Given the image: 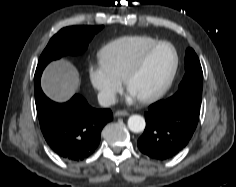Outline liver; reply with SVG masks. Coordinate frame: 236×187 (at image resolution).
Returning <instances> with one entry per match:
<instances>
[{
    "mask_svg": "<svg viewBox=\"0 0 236 187\" xmlns=\"http://www.w3.org/2000/svg\"><path fill=\"white\" fill-rule=\"evenodd\" d=\"M79 84V72L64 59L50 63L41 79L44 93L56 102H65L70 99Z\"/></svg>",
    "mask_w": 236,
    "mask_h": 187,
    "instance_id": "obj_1",
    "label": "liver"
}]
</instances>
